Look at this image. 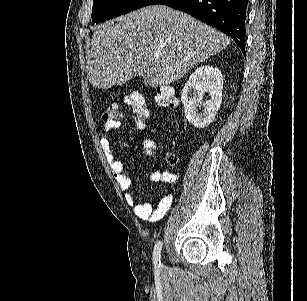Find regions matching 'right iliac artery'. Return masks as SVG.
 Masks as SVG:
<instances>
[{
    "label": "right iliac artery",
    "instance_id": "obj_1",
    "mask_svg": "<svg viewBox=\"0 0 307 301\" xmlns=\"http://www.w3.org/2000/svg\"><path fill=\"white\" fill-rule=\"evenodd\" d=\"M161 248H162V242L158 241L153 251V263L156 269H159L161 266Z\"/></svg>",
    "mask_w": 307,
    "mask_h": 301
}]
</instances>
